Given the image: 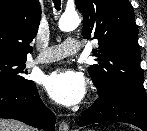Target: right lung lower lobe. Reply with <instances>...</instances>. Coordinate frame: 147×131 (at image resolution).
Instances as JSON below:
<instances>
[{"label":"right lung lower lobe","instance_id":"right-lung-lower-lobe-1","mask_svg":"<svg viewBox=\"0 0 147 131\" xmlns=\"http://www.w3.org/2000/svg\"><path fill=\"white\" fill-rule=\"evenodd\" d=\"M0 118L15 119L54 131L55 117L43 104L34 82L27 86H0Z\"/></svg>","mask_w":147,"mask_h":131}]
</instances>
